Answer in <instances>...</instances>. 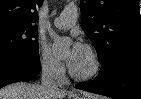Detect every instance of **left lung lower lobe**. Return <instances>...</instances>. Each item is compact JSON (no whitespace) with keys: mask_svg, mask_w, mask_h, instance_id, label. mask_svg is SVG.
I'll return each mask as SVG.
<instances>
[{"mask_svg":"<svg viewBox=\"0 0 141 99\" xmlns=\"http://www.w3.org/2000/svg\"><path fill=\"white\" fill-rule=\"evenodd\" d=\"M76 88L114 99H141V53L115 55L93 81Z\"/></svg>","mask_w":141,"mask_h":99,"instance_id":"1","label":"left lung lower lobe"}]
</instances>
